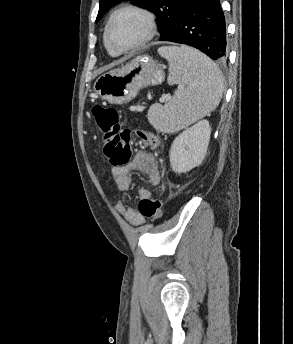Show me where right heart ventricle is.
<instances>
[{
	"instance_id": "1",
	"label": "right heart ventricle",
	"mask_w": 293,
	"mask_h": 344,
	"mask_svg": "<svg viewBox=\"0 0 293 344\" xmlns=\"http://www.w3.org/2000/svg\"><path fill=\"white\" fill-rule=\"evenodd\" d=\"M105 45H106V43H105ZM106 48H107V51L109 52L110 55H112V56H117V55H119V54H116V53H114L113 51H111V50L107 47V45H106Z\"/></svg>"
}]
</instances>
